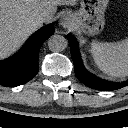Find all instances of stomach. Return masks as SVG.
Listing matches in <instances>:
<instances>
[{"label":"stomach","mask_w":128,"mask_h":128,"mask_svg":"<svg viewBox=\"0 0 128 128\" xmlns=\"http://www.w3.org/2000/svg\"><path fill=\"white\" fill-rule=\"evenodd\" d=\"M108 3L109 0H81L79 10L71 15L74 29L91 36L99 34L105 25Z\"/></svg>","instance_id":"0dacf381"}]
</instances>
